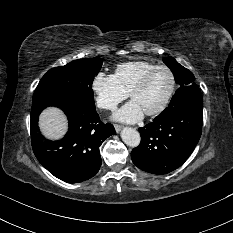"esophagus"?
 I'll list each match as a JSON object with an SVG mask.
<instances>
[{
  "mask_svg": "<svg viewBox=\"0 0 233 233\" xmlns=\"http://www.w3.org/2000/svg\"><path fill=\"white\" fill-rule=\"evenodd\" d=\"M114 128H115L116 132L119 133L121 131V129H122V126L118 125V124H115Z\"/></svg>",
  "mask_w": 233,
  "mask_h": 233,
  "instance_id": "1",
  "label": "esophagus"
}]
</instances>
